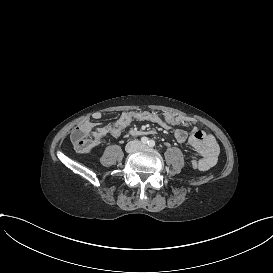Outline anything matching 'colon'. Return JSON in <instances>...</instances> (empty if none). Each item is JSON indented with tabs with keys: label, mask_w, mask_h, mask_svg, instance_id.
I'll list each match as a JSON object with an SVG mask.
<instances>
[{
	"label": "colon",
	"mask_w": 273,
	"mask_h": 273,
	"mask_svg": "<svg viewBox=\"0 0 273 273\" xmlns=\"http://www.w3.org/2000/svg\"><path fill=\"white\" fill-rule=\"evenodd\" d=\"M93 131V124L89 120H84L67 135V140L79 152H92L96 148V143L87 137H89Z\"/></svg>",
	"instance_id": "colon-1"
}]
</instances>
